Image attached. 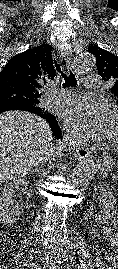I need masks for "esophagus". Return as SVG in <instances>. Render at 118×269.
Instances as JSON below:
<instances>
[{"mask_svg": "<svg viewBox=\"0 0 118 269\" xmlns=\"http://www.w3.org/2000/svg\"><path fill=\"white\" fill-rule=\"evenodd\" d=\"M57 52H58L60 57L64 55L66 58L68 66L72 67V55H71V53L68 50L63 49L62 47H58ZM75 156L80 160L85 159L86 157L90 156V150L88 148L78 147L75 151Z\"/></svg>", "mask_w": 118, "mask_h": 269, "instance_id": "34e87169", "label": "esophagus"}]
</instances>
